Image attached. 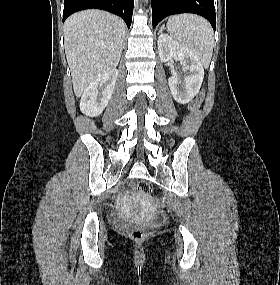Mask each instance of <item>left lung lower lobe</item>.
Here are the masks:
<instances>
[{"label": "left lung lower lobe", "mask_w": 280, "mask_h": 285, "mask_svg": "<svg viewBox=\"0 0 280 285\" xmlns=\"http://www.w3.org/2000/svg\"><path fill=\"white\" fill-rule=\"evenodd\" d=\"M153 27L165 17L180 13H194L205 17L216 29L213 0H151Z\"/></svg>", "instance_id": "obj_1"}]
</instances>
